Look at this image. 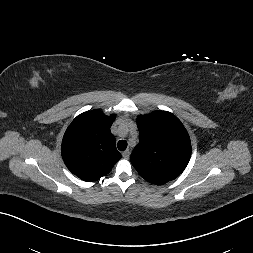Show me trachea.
Masks as SVG:
<instances>
[{"label":"trachea","instance_id":"3493384b","mask_svg":"<svg viewBox=\"0 0 253 253\" xmlns=\"http://www.w3.org/2000/svg\"><path fill=\"white\" fill-rule=\"evenodd\" d=\"M117 147L120 151H124L127 148V141L119 140V142L117 143Z\"/></svg>","mask_w":253,"mask_h":253}]
</instances>
